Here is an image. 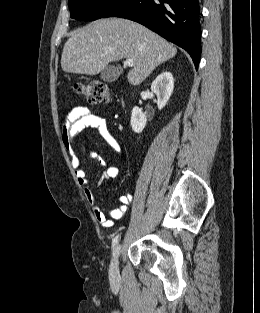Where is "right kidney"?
Returning <instances> with one entry per match:
<instances>
[{
	"mask_svg": "<svg viewBox=\"0 0 260 313\" xmlns=\"http://www.w3.org/2000/svg\"><path fill=\"white\" fill-rule=\"evenodd\" d=\"M174 88V78L169 71L162 72L152 83L151 91L157 96V106L161 110L167 104ZM147 118L139 107H134L131 114V127L135 133H141Z\"/></svg>",
	"mask_w": 260,
	"mask_h": 313,
	"instance_id": "1",
	"label": "right kidney"
}]
</instances>
